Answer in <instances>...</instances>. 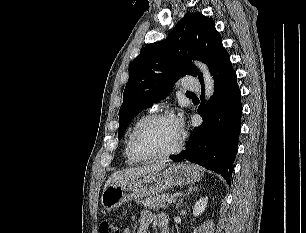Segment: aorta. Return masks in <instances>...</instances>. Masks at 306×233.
<instances>
[{
  "instance_id": "obj_1",
  "label": "aorta",
  "mask_w": 306,
  "mask_h": 233,
  "mask_svg": "<svg viewBox=\"0 0 306 233\" xmlns=\"http://www.w3.org/2000/svg\"><path fill=\"white\" fill-rule=\"evenodd\" d=\"M194 64L202 71L205 83V96L206 100L210 99L214 92V80L211 76L206 64L200 61H194Z\"/></svg>"
}]
</instances>
